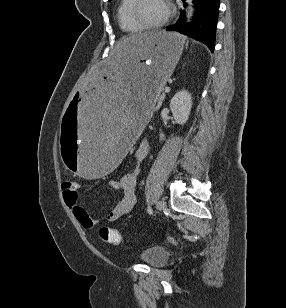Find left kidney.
<instances>
[{
    "mask_svg": "<svg viewBox=\"0 0 286 308\" xmlns=\"http://www.w3.org/2000/svg\"><path fill=\"white\" fill-rule=\"evenodd\" d=\"M192 107L191 94L185 90L179 91L170 101V109L175 121L183 125L189 118ZM164 134H160V140L164 139Z\"/></svg>",
    "mask_w": 286,
    "mask_h": 308,
    "instance_id": "obj_1",
    "label": "left kidney"
}]
</instances>
